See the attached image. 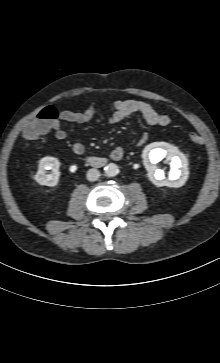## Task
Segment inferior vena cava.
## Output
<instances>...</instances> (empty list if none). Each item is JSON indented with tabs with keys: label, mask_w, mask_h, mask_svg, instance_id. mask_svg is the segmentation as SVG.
Masks as SVG:
<instances>
[{
	"label": "inferior vena cava",
	"mask_w": 220,
	"mask_h": 363,
	"mask_svg": "<svg viewBox=\"0 0 220 363\" xmlns=\"http://www.w3.org/2000/svg\"><path fill=\"white\" fill-rule=\"evenodd\" d=\"M100 177V172L99 170L92 168L89 169L87 172V179L89 181H96L98 178Z\"/></svg>",
	"instance_id": "inferior-vena-cava-1"
}]
</instances>
